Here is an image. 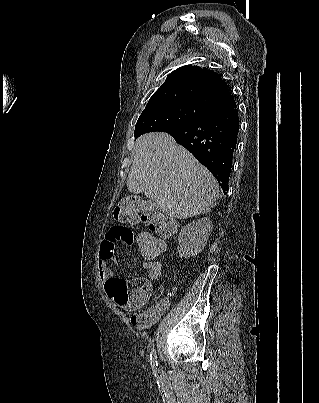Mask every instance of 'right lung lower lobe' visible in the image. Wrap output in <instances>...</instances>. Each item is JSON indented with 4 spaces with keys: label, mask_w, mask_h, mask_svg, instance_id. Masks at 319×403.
<instances>
[{
    "label": "right lung lower lobe",
    "mask_w": 319,
    "mask_h": 403,
    "mask_svg": "<svg viewBox=\"0 0 319 403\" xmlns=\"http://www.w3.org/2000/svg\"><path fill=\"white\" fill-rule=\"evenodd\" d=\"M238 130L239 117L235 107L212 112L194 122L169 126L159 131L170 134L178 144L189 150L210 170L226 193Z\"/></svg>",
    "instance_id": "1"
}]
</instances>
